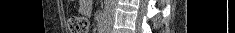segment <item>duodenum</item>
<instances>
[{
	"instance_id": "1",
	"label": "duodenum",
	"mask_w": 235,
	"mask_h": 33,
	"mask_svg": "<svg viewBox=\"0 0 235 33\" xmlns=\"http://www.w3.org/2000/svg\"><path fill=\"white\" fill-rule=\"evenodd\" d=\"M97 25H98V29L100 31H102L103 30V25H104L103 16L102 15L98 16V18H97Z\"/></svg>"
}]
</instances>
